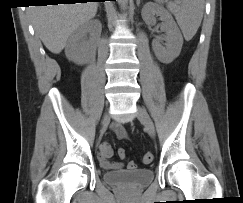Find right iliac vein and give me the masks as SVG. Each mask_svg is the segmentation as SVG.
<instances>
[{
    "mask_svg": "<svg viewBox=\"0 0 243 203\" xmlns=\"http://www.w3.org/2000/svg\"><path fill=\"white\" fill-rule=\"evenodd\" d=\"M109 123V115L105 114L102 119V124L107 125Z\"/></svg>",
    "mask_w": 243,
    "mask_h": 203,
    "instance_id": "right-iliac-vein-1",
    "label": "right iliac vein"
}]
</instances>
